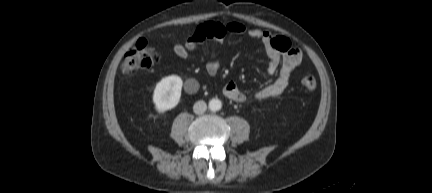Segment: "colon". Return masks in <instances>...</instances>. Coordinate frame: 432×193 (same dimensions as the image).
I'll use <instances>...</instances> for the list:
<instances>
[{
	"mask_svg": "<svg viewBox=\"0 0 432 193\" xmlns=\"http://www.w3.org/2000/svg\"><path fill=\"white\" fill-rule=\"evenodd\" d=\"M224 36L222 28L206 34L205 39H218ZM159 54L148 44L146 39H139L125 54L120 70L126 76L136 74L139 70L149 69L159 61ZM301 86L307 91L316 89V78L312 74H305L300 79Z\"/></svg>",
	"mask_w": 432,
	"mask_h": 193,
	"instance_id": "colon-1",
	"label": "colon"
}]
</instances>
